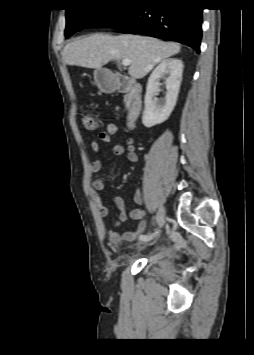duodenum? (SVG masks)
I'll list each match as a JSON object with an SVG mask.
<instances>
[{
  "instance_id": "410a0bca",
  "label": "duodenum",
  "mask_w": 254,
  "mask_h": 355,
  "mask_svg": "<svg viewBox=\"0 0 254 355\" xmlns=\"http://www.w3.org/2000/svg\"><path fill=\"white\" fill-rule=\"evenodd\" d=\"M109 91L126 93L128 96V110L126 123L128 128L133 129L142 111V87L124 76L116 75L104 84Z\"/></svg>"
}]
</instances>
